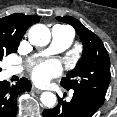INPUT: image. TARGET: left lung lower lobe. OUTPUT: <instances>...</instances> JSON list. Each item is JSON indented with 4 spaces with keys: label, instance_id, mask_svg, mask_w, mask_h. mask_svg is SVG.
Returning a JSON list of instances; mask_svg holds the SVG:
<instances>
[{
    "label": "left lung lower lobe",
    "instance_id": "1",
    "mask_svg": "<svg viewBox=\"0 0 117 117\" xmlns=\"http://www.w3.org/2000/svg\"><path fill=\"white\" fill-rule=\"evenodd\" d=\"M100 107L87 95L74 91L70 102L59 99L56 107L43 111V117H92Z\"/></svg>",
    "mask_w": 117,
    "mask_h": 117
}]
</instances>
